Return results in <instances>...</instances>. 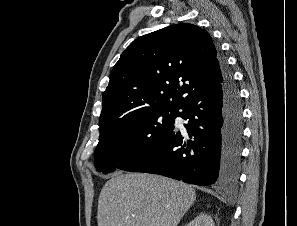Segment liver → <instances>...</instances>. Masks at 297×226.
<instances>
[{"mask_svg": "<svg viewBox=\"0 0 297 226\" xmlns=\"http://www.w3.org/2000/svg\"><path fill=\"white\" fill-rule=\"evenodd\" d=\"M196 200L182 182L146 173L116 172L98 199V226H177Z\"/></svg>", "mask_w": 297, "mask_h": 226, "instance_id": "1", "label": "liver"}]
</instances>
